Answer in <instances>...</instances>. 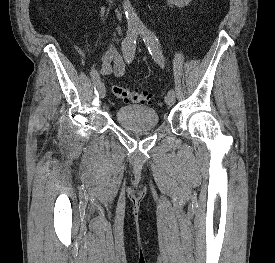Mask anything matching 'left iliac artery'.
<instances>
[{
	"instance_id": "left-iliac-artery-1",
	"label": "left iliac artery",
	"mask_w": 275,
	"mask_h": 263,
	"mask_svg": "<svg viewBox=\"0 0 275 263\" xmlns=\"http://www.w3.org/2000/svg\"><path fill=\"white\" fill-rule=\"evenodd\" d=\"M138 33L142 37L154 61L157 62L161 67H164V57L162 55L159 41L155 34L148 30L144 25L138 27ZM168 93L175 94L173 89L169 90Z\"/></svg>"
}]
</instances>
